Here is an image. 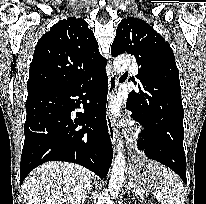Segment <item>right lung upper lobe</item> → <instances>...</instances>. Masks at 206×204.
I'll use <instances>...</instances> for the list:
<instances>
[{
    "label": "right lung upper lobe",
    "instance_id": "cb5924a9",
    "mask_svg": "<svg viewBox=\"0 0 206 204\" xmlns=\"http://www.w3.org/2000/svg\"><path fill=\"white\" fill-rule=\"evenodd\" d=\"M106 64L84 19L61 20L36 45L27 82L28 94L75 86Z\"/></svg>",
    "mask_w": 206,
    "mask_h": 204
}]
</instances>
